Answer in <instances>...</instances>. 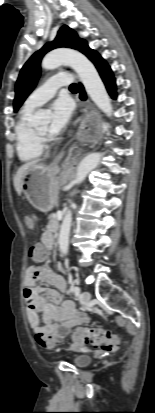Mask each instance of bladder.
<instances>
[{
    "label": "bladder",
    "mask_w": 155,
    "mask_h": 413,
    "mask_svg": "<svg viewBox=\"0 0 155 413\" xmlns=\"http://www.w3.org/2000/svg\"><path fill=\"white\" fill-rule=\"evenodd\" d=\"M92 362V357L86 354H79L73 358V364L77 367H86Z\"/></svg>",
    "instance_id": "bladder-1"
}]
</instances>
